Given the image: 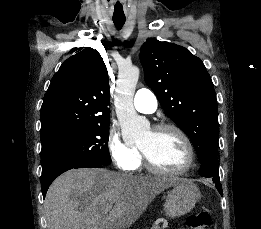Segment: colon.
Listing matches in <instances>:
<instances>
[{"label": "colon", "mask_w": 261, "mask_h": 229, "mask_svg": "<svg viewBox=\"0 0 261 229\" xmlns=\"http://www.w3.org/2000/svg\"><path fill=\"white\" fill-rule=\"evenodd\" d=\"M211 224V215L206 211L192 212L186 219L187 229H210Z\"/></svg>", "instance_id": "1"}]
</instances>
